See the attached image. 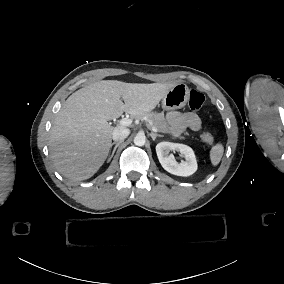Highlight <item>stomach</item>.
Wrapping results in <instances>:
<instances>
[{"mask_svg": "<svg viewBox=\"0 0 284 284\" xmlns=\"http://www.w3.org/2000/svg\"><path fill=\"white\" fill-rule=\"evenodd\" d=\"M190 98V89L185 83H177L162 99L164 111L179 110L186 106Z\"/></svg>", "mask_w": 284, "mask_h": 284, "instance_id": "obj_1", "label": "stomach"}]
</instances>
